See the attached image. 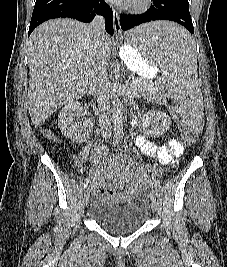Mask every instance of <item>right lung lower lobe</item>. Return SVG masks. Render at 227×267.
Masks as SVG:
<instances>
[{"mask_svg": "<svg viewBox=\"0 0 227 267\" xmlns=\"http://www.w3.org/2000/svg\"><path fill=\"white\" fill-rule=\"evenodd\" d=\"M95 15L104 16L105 29L113 35V12L104 0H36L28 36L49 19L73 18L89 23Z\"/></svg>", "mask_w": 227, "mask_h": 267, "instance_id": "right-lung-lower-lobe-1", "label": "right lung lower lobe"}]
</instances>
